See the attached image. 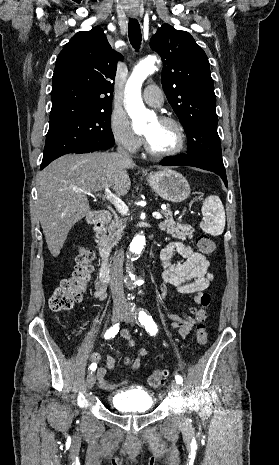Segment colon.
<instances>
[{
	"label": "colon",
	"instance_id": "1",
	"mask_svg": "<svg viewBox=\"0 0 279 465\" xmlns=\"http://www.w3.org/2000/svg\"><path fill=\"white\" fill-rule=\"evenodd\" d=\"M197 246L203 255H210L215 250L214 242L207 235L198 237ZM93 258L94 254L91 250L85 248L79 249L76 257V266L72 275L60 282L49 300L51 310L56 312L66 311L81 300L92 279L94 271L92 265ZM199 304L200 308L196 312L198 324L195 335L199 344H205L208 336L205 325V320L207 318L206 309L211 304V295L209 293H202ZM166 376V371H154L148 377V384L151 387H158L164 382Z\"/></svg>",
	"mask_w": 279,
	"mask_h": 465
}]
</instances>
